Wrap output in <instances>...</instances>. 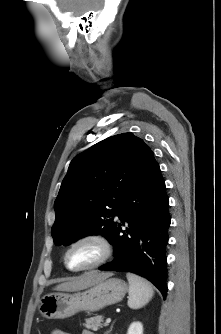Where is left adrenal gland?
Wrapping results in <instances>:
<instances>
[{
	"label": "left adrenal gland",
	"instance_id": "1",
	"mask_svg": "<svg viewBox=\"0 0 221 334\" xmlns=\"http://www.w3.org/2000/svg\"><path fill=\"white\" fill-rule=\"evenodd\" d=\"M112 328H113V324L111 325V327H110V330H109V331H107L105 334H108V333H110V332L112 331Z\"/></svg>",
	"mask_w": 221,
	"mask_h": 334
}]
</instances>
